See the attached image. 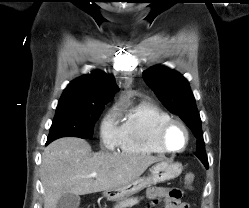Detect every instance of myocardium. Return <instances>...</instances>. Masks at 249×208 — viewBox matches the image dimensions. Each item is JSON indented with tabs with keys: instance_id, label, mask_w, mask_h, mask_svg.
<instances>
[{
	"instance_id": "myocardium-1",
	"label": "myocardium",
	"mask_w": 249,
	"mask_h": 208,
	"mask_svg": "<svg viewBox=\"0 0 249 208\" xmlns=\"http://www.w3.org/2000/svg\"><path fill=\"white\" fill-rule=\"evenodd\" d=\"M174 126H179L184 131L185 136H186V141H185L184 146L179 149H174V148L169 147L166 142V135L168 131ZM156 141L159 147L163 151L168 152V153H180V152H183L189 145L190 132L187 126L182 121L178 119H170L164 122L157 130Z\"/></svg>"
}]
</instances>
